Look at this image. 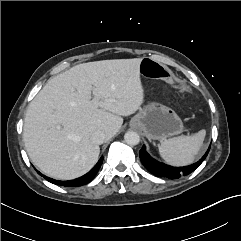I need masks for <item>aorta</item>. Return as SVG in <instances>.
<instances>
[{"label": "aorta", "instance_id": "762f6f07", "mask_svg": "<svg viewBox=\"0 0 241 241\" xmlns=\"http://www.w3.org/2000/svg\"><path fill=\"white\" fill-rule=\"evenodd\" d=\"M124 141L130 146H135L140 142V136L134 131H128L124 135Z\"/></svg>", "mask_w": 241, "mask_h": 241}]
</instances>
